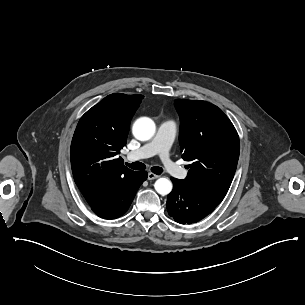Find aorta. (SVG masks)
Listing matches in <instances>:
<instances>
[{
    "label": "aorta",
    "mask_w": 305,
    "mask_h": 305,
    "mask_svg": "<svg viewBox=\"0 0 305 305\" xmlns=\"http://www.w3.org/2000/svg\"><path fill=\"white\" fill-rule=\"evenodd\" d=\"M156 126L153 120L147 117L139 118L133 125L132 132L136 139L147 141L155 133ZM155 190L160 195H168L173 188L172 182L167 178H159L154 184Z\"/></svg>",
    "instance_id": "762f6f07"
}]
</instances>
